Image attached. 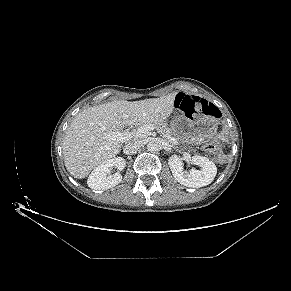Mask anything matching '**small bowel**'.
<instances>
[{
    "instance_id": "1",
    "label": "small bowel",
    "mask_w": 291,
    "mask_h": 291,
    "mask_svg": "<svg viewBox=\"0 0 291 291\" xmlns=\"http://www.w3.org/2000/svg\"><path fill=\"white\" fill-rule=\"evenodd\" d=\"M185 95H187V94H185ZM191 96H194V95H191ZM194 97H198V96H194Z\"/></svg>"
}]
</instances>
